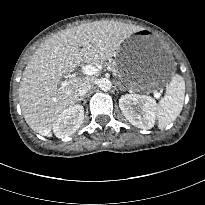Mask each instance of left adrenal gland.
<instances>
[{"mask_svg":"<svg viewBox=\"0 0 205 205\" xmlns=\"http://www.w3.org/2000/svg\"><path fill=\"white\" fill-rule=\"evenodd\" d=\"M117 86H118L119 90H121V91L125 90V87L123 85H121L120 82L117 83Z\"/></svg>","mask_w":205,"mask_h":205,"instance_id":"a2214340","label":"left adrenal gland"}]
</instances>
